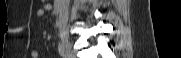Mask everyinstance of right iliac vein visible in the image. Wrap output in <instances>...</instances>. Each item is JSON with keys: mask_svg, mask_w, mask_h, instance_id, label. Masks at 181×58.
I'll return each mask as SVG.
<instances>
[{"mask_svg": "<svg viewBox=\"0 0 181 58\" xmlns=\"http://www.w3.org/2000/svg\"><path fill=\"white\" fill-rule=\"evenodd\" d=\"M61 42H62L63 47L66 50L67 55L69 57H73L74 52H73L72 45H71L69 39L66 36H62L61 37Z\"/></svg>", "mask_w": 181, "mask_h": 58, "instance_id": "obj_1", "label": "right iliac vein"}]
</instances>
